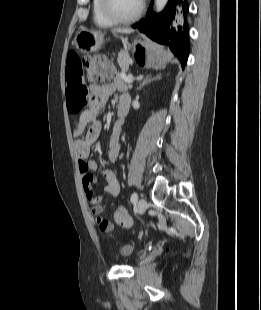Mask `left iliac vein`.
I'll list each match as a JSON object with an SVG mask.
<instances>
[{
    "label": "left iliac vein",
    "mask_w": 261,
    "mask_h": 310,
    "mask_svg": "<svg viewBox=\"0 0 261 310\" xmlns=\"http://www.w3.org/2000/svg\"><path fill=\"white\" fill-rule=\"evenodd\" d=\"M147 209V202L144 198L139 199L137 203V211L140 215H142Z\"/></svg>",
    "instance_id": "obj_1"
}]
</instances>
